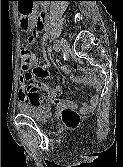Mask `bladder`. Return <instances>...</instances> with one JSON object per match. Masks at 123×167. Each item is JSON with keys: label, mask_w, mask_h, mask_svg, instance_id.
I'll list each match as a JSON object with an SVG mask.
<instances>
[{"label": "bladder", "mask_w": 123, "mask_h": 167, "mask_svg": "<svg viewBox=\"0 0 123 167\" xmlns=\"http://www.w3.org/2000/svg\"><path fill=\"white\" fill-rule=\"evenodd\" d=\"M19 111L38 121H47L51 118V105L45 102L29 104L21 102L18 104Z\"/></svg>", "instance_id": "31cf9c89"}]
</instances>
